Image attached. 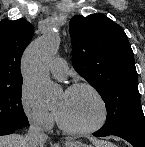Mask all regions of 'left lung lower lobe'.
Returning a JSON list of instances; mask_svg holds the SVG:
<instances>
[{
	"mask_svg": "<svg viewBox=\"0 0 145 147\" xmlns=\"http://www.w3.org/2000/svg\"><path fill=\"white\" fill-rule=\"evenodd\" d=\"M93 135L97 137L115 135L127 140L134 147H145V130H125L118 132H104L98 130L97 132L93 133Z\"/></svg>",
	"mask_w": 145,
	"mask_h": 147,
	"instance_id": "0a47b994",
	"label": "left lung lower lobe"
}]
</instances>
